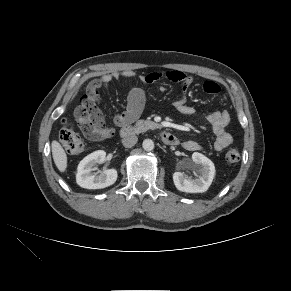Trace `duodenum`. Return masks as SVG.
<instances>
[{"label": "duodenum", "instance_id": "obj_1", "mask_svg": "<svg viewBox=\"0 0 291 291\" xmlns=\"http://www.w3.org/2000/svg\"><path fill=\"white\" fill-rule=\"evenodd\" d=\"M136 132H137V129L134 126L130 124H125L121 127L120 135L126 138V137L134 135ZM160 137L163 143L167 145H176L178 143L176 136L170 132L163 131L161 132Z\"/></svg>", "mask_w": 291, "mask_h": 291}]
</instances>
